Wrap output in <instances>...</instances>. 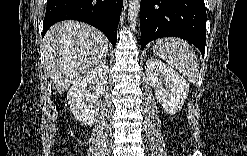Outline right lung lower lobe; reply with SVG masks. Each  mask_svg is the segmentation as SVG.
I'll use <instances>...</instances> for the list:
<instances>
[{
	"mask_svg": "<svg viewBox=\"0 0 247 156\" xmlns=\"http://www.w3.org/2000/svg\"><path fill=\"white\" fill-rule=\"evenodd\" d=\"M122 6L121 0H48L43 36L53 24L72 19L98 28L115 47Z\"/></svg>",
	"mask_w": 247,
	"mask_h": 156,
	"instance_id": "right-lung-lower-lobe-1",
	"label": "right lung lower lobe"
}]
</instances>
